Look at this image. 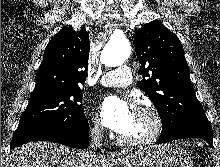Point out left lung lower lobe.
I'll use <instances>...</instances> for the list:
<instances>
[{
    "instance_id": "obj_1",
    "label": "left lung lower lobe",
    "mask_w": 220,
    "mask_h": 167,
    "mask_svg": "<svg viewBox=\"0 0 220 167\" xmlns=\"http://www.w3.org/2000/svg\"><path fill=\"white\" fill-rule=\"evenodd\" d=\"M184 138H201L213 147V132L207 117L188 121L173 132H162L156 143L162 144Z\"/></svg>"
}]
</instances>
